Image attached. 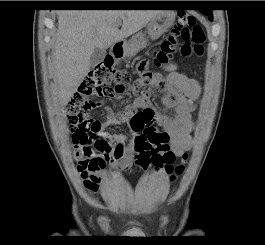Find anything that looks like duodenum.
Returning <instances> with one entry per match:
<instances>
[{
  "instance_id": "1",
  "label": "duodenum",
  "mask_w": 265,
  "mask_h": 245,
  "mask_svg": "<svg viewBox=\"0 0 265 245\" xmlns=\"http://www.w3.org/2000/svg\"><path fill=\"white\" fill-rule=\"evenodd\" d=\"M111 54L117 59H122L124 57V43L122 41L115 42L111 47Z\"/></svg>"
}]
</instances>
